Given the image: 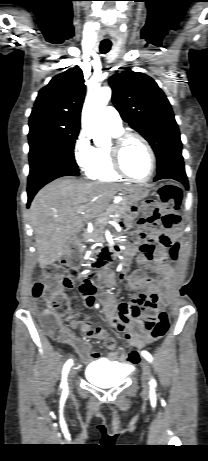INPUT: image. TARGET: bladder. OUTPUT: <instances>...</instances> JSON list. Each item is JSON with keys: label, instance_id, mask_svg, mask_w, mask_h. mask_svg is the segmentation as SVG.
I'll return each instance as SVG.
<instances>
[{"label": "bladder", "instance_id": "31cf9c89", "mask_svg": "<svg viewBox=\"0 0 208 461\" xmlns=\"http://www.w3.org/2000/svg\"><path fill=\"white\" fill-rule=\"evenodd\" d=\"M126 367L107 360H97L89 364L85 370V377L91 383L100 387H111L128 374Z\"/></svg>", "mask_w": 208, "mask_h": 461}]
</instances>
